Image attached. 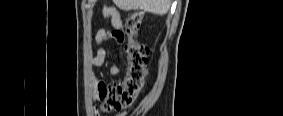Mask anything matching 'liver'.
Instances as JSON below:
<instances>
[{
	"mask_svg": "<svg viewBox=\"0 0 283 116\" xmlns=\"http://www.w3.org/2000/svg\"><path fill=\"white\" fill-rule=\"evenodd\" d=\"M115 5L124 11L140 9L157 15L168 12L171 0H114Z\"/></svg>",
	"mask_w": 283,
	"mask_h": 116,
	"instance_id": "6515ba94",
	"label": "liver"
}]
</instances>
